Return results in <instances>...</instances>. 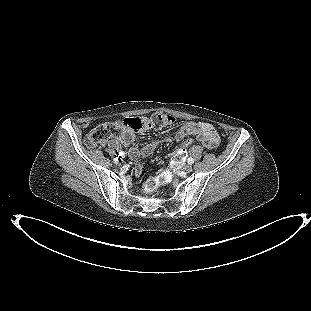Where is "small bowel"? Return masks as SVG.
<instances>
[{
	"label": "small bowel",
	"mask_w": 311,
	"mask_h": 311,
	"mask_svg": "<svg viewBox=\"0 0 311 311\" xmlns=\"http://www.w3.org/2000/svg\"><path fill=\"white\" fill-rule=\"evenodd\" d=\"M190 136L199 138L208 149H214L219 144V136L214 126L207 122H187L176 131L173 139L176 141H184ZM134 138V134L129 130H124L120 136L121 142L125 146L129 147V157L134 162H136L140 157H147L151 155L160 143L159 140H153L147 143L142 149H139L136 145H133ZM170 140V138L166 139V141ZM185 156L186 154L183 150H179L175 154V157L178 160L183 159ZM141 172V167L138 164H135V175L138 176Z\"/></svg>",
	"instance_id": "c3829d8e"
}]
</instances>
